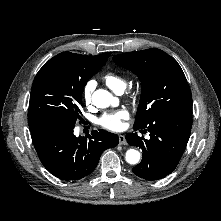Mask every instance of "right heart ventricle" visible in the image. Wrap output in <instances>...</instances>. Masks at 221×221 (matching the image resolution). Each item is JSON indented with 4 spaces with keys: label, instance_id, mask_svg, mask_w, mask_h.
Returning <instances> with one entry per match:
<instances>
[{
    "label": "right heart ventricle",
    "instance_id": "1",
    "mask_svg": "<svg viewBox=\"0 0 221 221\" xmlns=\"http://www.w3.org/2000/svg\"><path fill=\"white\" fill-rule=\"evenodd\" d=\"M104 81L106 85L114 92L124 90L126 87V81L124 80V78L114 73L106 74L104 76Z\"/></svg>",
    "mask_w": 221,
    "mask_h": 221
}]
</instances>
